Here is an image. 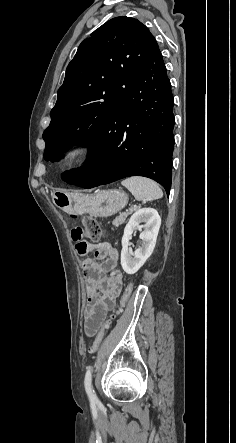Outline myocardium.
I'll list each match as a JSON object with an SVG mask.
<instances>
[{
	"instance_id": "obj_1",
	"label": "myocardium",
	"mask_w": 236,
	"mask_h": 443,
	"mask_svg": "<svg viewBox=\"0 0 236 443\" xmlns=\"http://www.w3.org/2000/svg\"><path fill=\"white\" fill-rule=\"evenodd\" d=\"M93 154V146L86 140H76L64 147L60 162L66 169H75L85 164Z\"/></svg>"
}]
</instances>
